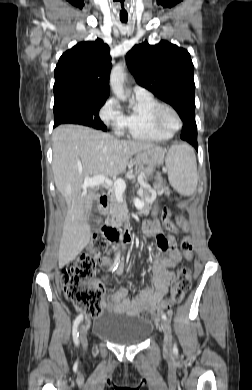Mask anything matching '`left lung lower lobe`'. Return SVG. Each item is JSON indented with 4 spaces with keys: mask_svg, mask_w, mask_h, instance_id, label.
Returning a JSON list of instances; mask_svg holds the SVG:
<instances>
[{
    "mask_svg": "<svg viewBox=\"0 0 252 390\" xmlns=\"http://www.w3.org/2000/svg\"><path fill=\"white\" fill-rule=\"evenodd\" d=\"M181 138L188 141L192 144L196 150L197 148V130L195 119H185L183 120V129Z\"/></svg>",
    "mask_w": 252,
    "mask_h": 390,
    "instance_id": "obj_1",
    "label": "left lung lower lobe"
}]
</instances>
